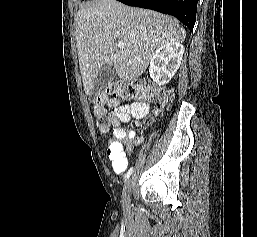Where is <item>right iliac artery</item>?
Returning a JSON list of instances; mask_svg holds the SVG:
<instances>
[{
  "mask_svg": "<svg viewBox=\"0 0 257 237\" xmlns=\"http://www.w3.org/2000/svg\"><path fill=\"white\" fill-rule=\"evenodd\" d=\"M132 172H133V167H131V168L128 170V172L126 173V175H125V179H126V180L130 177V175L132 174Z\"/></svg>",
  "mask_w": 257,
  "mask_h": 237,
  "instance_id": "obj_1",
  "label": "right iliac artery"
}]
</instances>
